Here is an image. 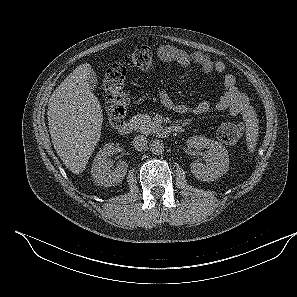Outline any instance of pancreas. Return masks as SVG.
<instances>
[{
  "mask_svg": "<svg viewBox=\"0 0 297 297\" xmlns=\"http://www.w3.org/2000/svg\"><path fill=\"white\" fill-rule=\"evenodd\" d=\"M131 121L135 124L136 129L143 134L154 133L159 127L148 114H137L132 117Z\"/></svg>",
  "mask_w": 297,
  "mask_h": 297,
  "instance_id": "1",
  "label": "pancreas"
}]
</instances>
